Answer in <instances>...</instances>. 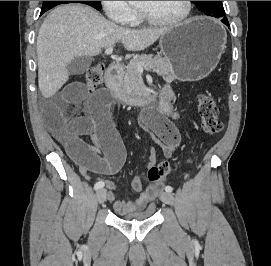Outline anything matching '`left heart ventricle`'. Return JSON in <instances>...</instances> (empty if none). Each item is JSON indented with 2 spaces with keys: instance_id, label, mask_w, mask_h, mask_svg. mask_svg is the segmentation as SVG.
<instances>
[{
  "instance_id": "b2bd125f",
  "label": "left heart ventricle",
  "mask_w": 271,
  "mask_h": 266,
  "mask_svg": "<svg viewBox=\"0 0 271 266\" xmlns=\"http://www.w3.org/2000/svg\"><path fill=\"white\" fill-rule=\"evenodd\" d=\"M139 7L157 19H175L185 10L184 1H139Z\"/></svg>"
}]
</instances>
